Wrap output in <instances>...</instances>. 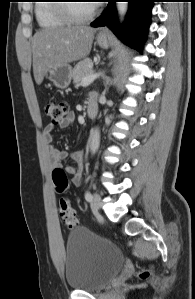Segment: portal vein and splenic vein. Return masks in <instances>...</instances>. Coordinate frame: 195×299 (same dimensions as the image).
Listing matches in <instances>:
<instances>
[{
  "label": "portal vein and splenic vein",
  "instance_id": "portal-vein-and-splenic-vein-1",
  "mask_svg": "<svg viewBox=\"0 0 195 299\" xmlns=\"http://www.w3.org/2000/svg\"><path fill=\"white\" fill-rule=\"evenodd\" d=\"M101 73H91L89 76L85 77L82 79L81 84L86 86L92 83L95 79H97Z\"/></svg>",
  "mask_w": 195,
  "mask_h": 299
}]
</instances>
